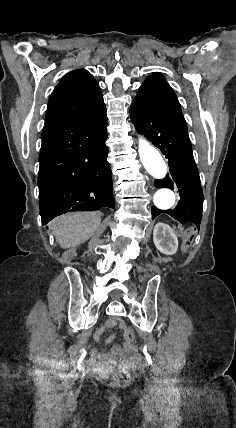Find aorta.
I'll return each instance as SVG.
<instances>
[{
    "label": "aorta",
    "instance_id": "1",
    "mask_svg": "<svg viewBox=\"0 0 236 428\" xmlns=\"http://www.w3.org/2000/svg\"><path fill=\"white\" fill-rule=\"evenodd\" d=\"M140 160L147 172L155 179H163L167 174V165L159 151L151 146L142 136L138 148ZM154 205L159 210H168L175 203V194L170 189H160L153 197Z\"/></svg>",
    "mask_w": 236,
    "mask_h": 428
}]
</instances>
